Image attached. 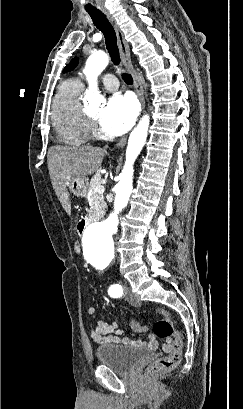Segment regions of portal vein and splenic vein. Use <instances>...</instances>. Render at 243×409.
Listing matches in <instances>:
<instances>
[{"instance_id":"portal-vein-and-splenic-vein-1","label":"portal vein and splenic vein","mask_w":243,"mask_h":409,"mask_svg":"<svg viewBox=\"0 0 243 409\" xmlns=\"http://www.w3.org/2000/svg\"><path fill=\"white\" fill-rule=\"evenodd\" d=\"M95 191L97 192V193H99V194H102V193H104V191H105V188H104V186L103 185H98L96 188H95Z\"/></svg>"}]
</instances>
